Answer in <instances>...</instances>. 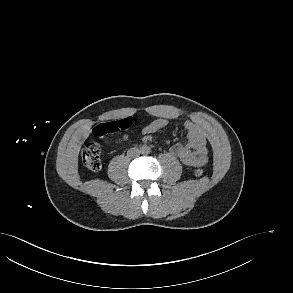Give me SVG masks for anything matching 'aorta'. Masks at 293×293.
<instances>
[{
    "mask_svg": "<svg viewBox=\"0 0 293 293\" xmlns=\"http://www.w3.org/2000/svg\"><path fill=\"white\" fill-rule=\"evenodd\" d=\"M149 152V149H145L144 153H148Z\"/></svg>",
    "mask_w": 293,
    "mask_h": 293,
    "instance_id": "762f6f07",
    "label": "aorta"
}]
</instances>
